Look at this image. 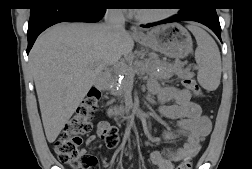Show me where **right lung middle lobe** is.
<instances>
[{"label":"right lung middle lobe","mask_w":252,"mask_h":169,"mask_svg":"<svg viewBox=\"0 0 252 169\" xmlns=\"http://www.w3.org/2000/svg\"><path fill=\"white\" fill-rule=\"evenodd\" d=\"M90 1L98 2V3H106L107 2V0H90Z\"/></svg>","instance_id":"1"}]
</instances>
